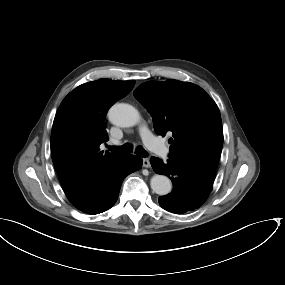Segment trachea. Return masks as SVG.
I'll return each instance as SVG.
<instances>
[{"label": "trachea", "mask_w": 285, "mask_h": 285, "mask_svg": "<svg viewBox=\"0 0 285 285\" xmlns=\"http://www.w3.org/2000/svg\"><path fill=\"white\" fill-rule=\"evenodd\" d=\"M109 150H111L117 154H120V155H127L133 151V147L131 144L126 143L122 146H111V147H109ZM135 153L141 157H146L148 154L147 151L142 146H137Z\"/></svg>", "instance_id": "3493384b"}]
</instances>
